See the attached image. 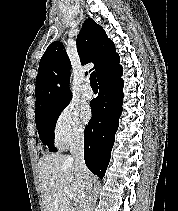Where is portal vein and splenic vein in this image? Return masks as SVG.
<instances>
[{"label":"portal vein and splenic vein","instance_id":"18ae733b","mask_svg":"<svg viewBox=\"0 0 178 211\" xmlns=\"http://www.w3.org/2000/svg\"><path fill=\"white\" fill-rule=\"evenodd\" d=\"M66 195L71 199V200H75V195L71 192H69L67 189H64Z\"/></svg>","mask_w":178,"mask_h":211}]
</instances>
